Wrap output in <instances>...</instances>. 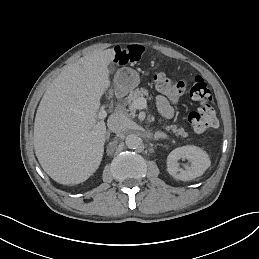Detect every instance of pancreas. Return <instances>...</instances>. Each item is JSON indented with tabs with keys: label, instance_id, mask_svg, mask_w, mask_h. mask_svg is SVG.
<instances>
[{
	"label": "pancreas",
	"instance_id": "cf45deb5",
	"mask_svg": "<svg viewBox=\"0 0 259 259\" xmlns=\"http://www.w3.org/2000/svg\"><path fill=\"white\" fill-rule=\"evenodd\" d=\"M144 96L148 97V90H146L145 88H138L133 92H131L129 96L126 98V103L129 105V111L132 116H135V108L132 106L133 101ZM165 129L167 131L172 130V132L175 133L176 136L178 135L182 137L188 136V133L185 132L184 128H178L177 125L166 126Z\"/></svg>",
	"mask_w": 259,
	"mask_h": 259
}]
</instances>
